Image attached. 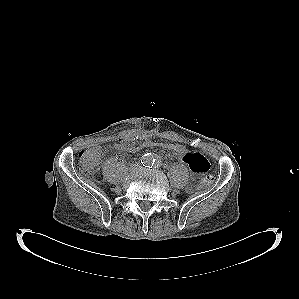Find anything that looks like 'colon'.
<instances>
[{
    "mask_svg": "<svg viewBox=\"0 0 299 299\" xmlns=\"http://www.w3.org/2000/svg\"><path fill=\"white\" fill-rule=\"evenodd\" d=\"M126 147L127 145L123 139L118 140L111 146L112 149L120 150V151H124ZM153 147H160V148L171 150L179 158H182L186 154V148L183 145L177 143L164 142L160 140H146L140 144L134 143L131 146V149L134 152H139ZM101 152L102 150L99 148H93V149H87L81 151L77 163L78 170L84 174L93 173L98 164V160L100 158ZM212 182H213V177L207 174L200 179L199 187L207 188L212 184Z\"/></svg>",
    "mask_w": 299,
    "mask_h": 299,
    "instance_id": "1",
    "label": "colon"
}]
</instances>
